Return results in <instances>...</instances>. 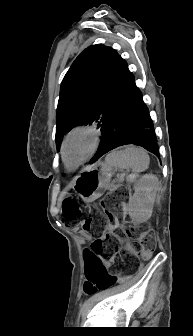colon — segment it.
Returning a JSON list of instances; mask_svg holds the SVG:
<instances>
[{"instance_id":"colon-1","label":"colon","mask_w":193,"mask_h":336,"mask_svg":"<svg viewBox=\"0 0 193 336\" xmlns=\"http://www.w3.org/2000/svg\"><path fill=\"white\" fill-rule=\"evenodd\" d=\"M106 219L91 215L89 207L74 197L64 201V218L70 225L81 222L83 229L97 236L87 253L88 268L87 280L99 290L107 289L119 282V278L107 272L104 260L120 252L117 230L121 229L129 238L136 239L141 247L144 257L150 256L156 249L155 234L145 228L124 226L125 208L117 201L101 202ZM131 261L130 258H128Z\"/></svg>"}]
</instances>
